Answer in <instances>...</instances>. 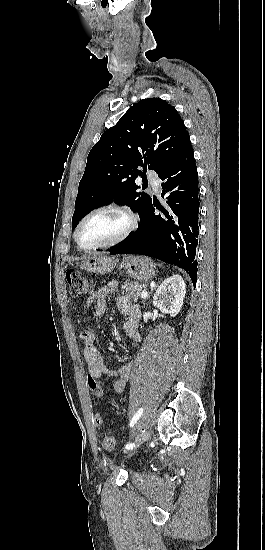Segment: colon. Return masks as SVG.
Returning <instances> with one entry per match:
<instances>
[{"mask_svg":"<svg viewBox=\"0 0 265 550\" xmlns=\"http://www.w3.org/2000/svg\"><path fill=\"white\" fill-rule=\"evenodd\" d=\"M66 280L69 287V293L72 297L78 298L81 297L92 290V285L90 280L84 276L81 272L77 270H69L66 273ZM88 386L94 396H100L101 386L98 380L88 376L87 377ZM97 424L102 423V418L96 416ZM102 445L106 449H112L115 446V439L112 435H106L103 438Z\"/></svg>","mask_w":265,"mask_h":550,"instance_id":"colon-1","label":"colon"}]
</instances>
